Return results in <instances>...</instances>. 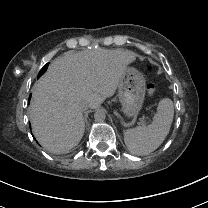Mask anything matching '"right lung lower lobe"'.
<instances>
[{"mask_svg": "<svg viewBox=\"0 0 208 208\" xmlns=\"http://www.w3.org/2000/svg\"><path fill=\"white\" fill-rule=\"evenodd\" d=\"M47 67H48V63H47ZM47 67H46V68H47ZM30 97H31V95H30ZM30 97H29V100H30Z\"/></svg>", "mask_w": 208, "mask_h": 208, "instance_id": "obj_1", "label": "right lung lower lobe"}]
</instances>
